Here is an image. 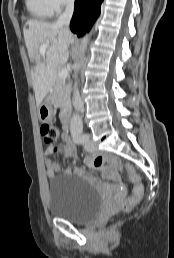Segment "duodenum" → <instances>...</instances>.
<instances>
[{"instance_id":"410a0bca","label":"duodenum","mask_w":174,"mask_h":258,"mask_svg":"<svg viewBox=\"0 0 174 258\" xmlns=\"http://www.w3.org/2000/svg\"><path fill=\"white\" fill-rule=\"evenodd\" d=\"M61 119L64 125H69L71 120V115H70V108L68 103L63 104Z\"/></svg>"}]
</instances>
